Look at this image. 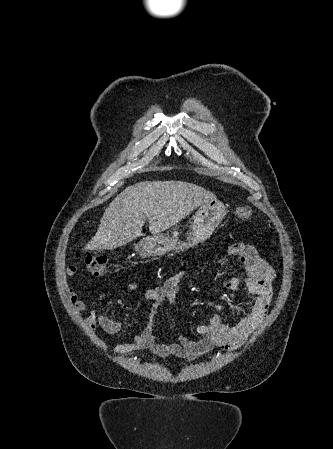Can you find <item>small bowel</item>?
Masks as SVG:
<instances>
[{"instance_id": "obj_1", "label": "small bowel", "mask_w": 333, "mask_h": 449, "mask_svg": "<svg viewBox=\"0 0 333 449\" xmlns=\"http://www.w3.org/2000/svg\"><path fill=\"white\" fill-rule=\"evenodd\" d=\"M228 255L236 258L248 270L247 278H240L229 274L224 279V285L232 291H245L255 295L247 314L235 325H227L221 321L220 306H214L215 312L208 324L199 325L196 332L198 340H190L185 336H178L177 340L157 342L153 335L158 308L164 300L174 303L178 297V285L183 277L178 273L170 277L163 285L147 289L145 299L149 302L148 310L141 331L131 341L119 343L113 347L118 355L132 356L139 350H145L159 358L175 356L184 359H196L214 346L223 348H236L240 346L250 334L260 325L266 316L272 301L273 281L275 272L272 266L262 258L250 245L238 243L232 245ZM226 261L222 260L221 264ZM77 268L70 265L67 275L73 278ZM67 296L77 313L88 309V304L81 300L72 287H67ZM88 325L95 329L100 326L108 334H117L122 329V322L112 320L98 311H90L86 317Z\"/></svg>"}]
</instances>
